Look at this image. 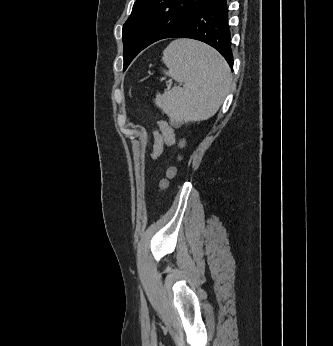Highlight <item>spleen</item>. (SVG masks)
<instances>
[{
    "label": "spleen",
    "mask_w": 333,
    "mask_h": 346,
    "mask_svg": "<svg viewBox=\"0 0 333 346\" xmlns=\"http://www.w3.org/2000/svg\"><path fill=\"white\" fill-rule=\"evenodd\" d=\"M162 60L166 74L184 85L157 94L156 104L172 119L185 122L213 116L232 87L225 59L204 43L177 39L163 51Z\"/></svg>",
    "instance_id": "3e777b00"
}]
</instances>
